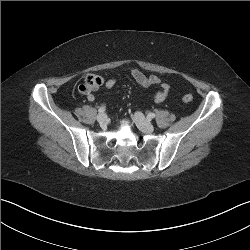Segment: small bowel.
Masks as SVG:
<instances>
[{
  "label": "small bowel",
  "instance_id": "1",
  "mask_svg": "<svg viewBox=\"0 0 250 250\" xmlns=\"http://www.w3.org/2000/svg\"><path fill=\"white\" fill-rule=\"evenodd\" d=\"M131 76L135 80V82L141 87L148 88V87L155 86V85L159 86V89L153 95V101L155 103H161L167 98L170 92V86L167 82L163 81L160 77L155 76V75L147 76L138 69H132ZM116 81H117L116 78H109L103 84L105 88L111 89L112 87L115 86ZM97 88L84 92V94L86 95L89 101L95 100L94 91H96Z\"/></svg>",
  "mask_w": 250,
  "mask_h": 250
}]
</instances>
